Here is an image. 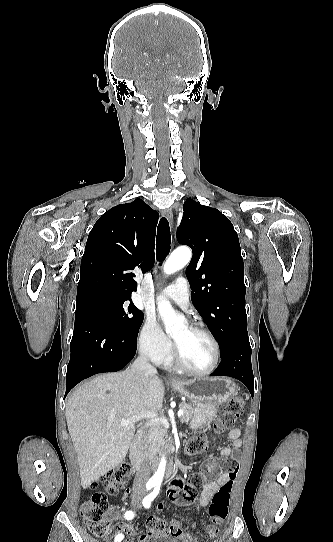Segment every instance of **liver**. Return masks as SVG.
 <instances>
[{
    "label": "liver",
    "instance_id": "liver-1",
    "mask_svg": "<svg viewBox=\"0 0 333 542\" xmlns=\"http://www.w3.org/2000/svg\"><path fill=\"white\" fill-rule=\"evenodd\" d=\"M163 398L160 378H143L142 372L131 368L96 376L71 394L65 414L84 490L126 458L135 422L121 426V420L162 410Z\"/></svg>",
    "mask_w": 333,
    "mask_h": 542
}]
</instances>
